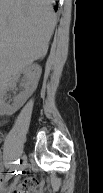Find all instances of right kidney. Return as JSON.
I'll use <instances>...</instances> for the list:
<instances>
[{
  "instance_id": "right-kidney-1",
  "label": "right kidney",
  "mask_w": 103,
  "mask_h": 193,
  "mask_svg": "<svg viewBox=\"0 0 103 193\" xmlns=\"http://www.w3.org/2000/svg\"><path fill=\"white\" fill-rule=\"evenodd\" d=\"M24 75V79L22 80L21 86L24 88V91L19 94V96L14 100L12 105L5 103V95L9 89L16 86V82L18 81L20 75H13L12 78L5 84H1L0 88V101H1V111L4 115H12L18 109H20L27 99L32 95L34 90L37 87L40 75H41V67L39 65H30L21 70Z\"/></svg>"
}]
</instances>
